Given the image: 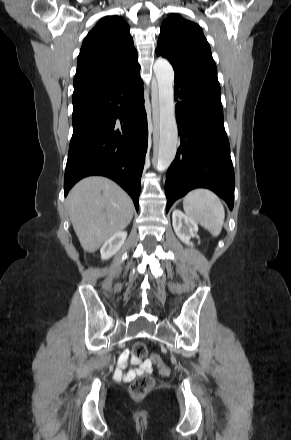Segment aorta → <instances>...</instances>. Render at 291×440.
I'll return each mask as SVG.
<instances>
[{
  "label": "aorta",
  "mask_w": 291,
  "mask_h": 440,
  "mask_svg": "<svg viewBox=\"0 0 291 440\" xmlns=\"http://www.w3.org/2000/svg\"><path fill=\"white\" fill-rule=\"evenodd\" d=\"M158 83L159 144L157 169L165 171L173 162L178 146V129L174 105V71L168 60L158 58L154 63Z\"/></svg>",
  "instance_id": "obj_1"
}]
</instances>
